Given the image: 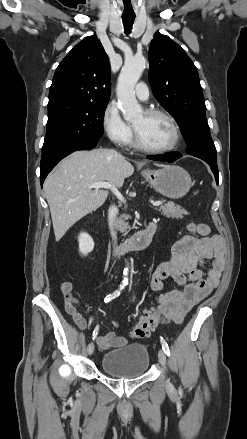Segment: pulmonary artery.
Wrapping results in <instances>:
<instances>
[{
    "mask_svg": "<svg viewBox=\"0 0 247 439\" xmlns=\"http://www.w3.org/2000/svg\"><path fill=\"white\" fill-rule=\"evenodd\" d=\"M135 93L138 99L141 101H146L149 98V90L146 84L138 83L135 87Z\"/></svg>",
    "mask_w": 247,
    "mask_h": 439,
    "instance_id": "1",
    "label": "pulmonary artery"
}]
</instances>
